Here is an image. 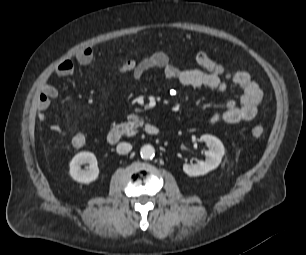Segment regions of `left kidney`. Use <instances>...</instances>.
Returning <instances> with one entry per match:
<instances>
[{
    "mask_svg": "<svg viewBox=\"0 0 306 255\" xmlns=\"http://www.w3.org/2000/svg\"><path fill=\"white\" fill-rule=\"evenodd\" d=\"M200 140L205 142L208 150L205 151V160H201L197 164H184L183 171L189 176L205 175L214 170L221 163L225 153L223 143L215 136L202 135Z\"/></svg>",
    "mask_w": 306,
    "mask_h": 255,
    "instance_id": "5707ae66",
    "label": "left kidney"
}]
</instances>
